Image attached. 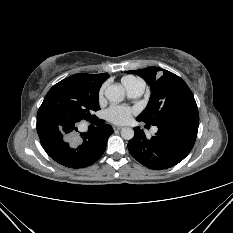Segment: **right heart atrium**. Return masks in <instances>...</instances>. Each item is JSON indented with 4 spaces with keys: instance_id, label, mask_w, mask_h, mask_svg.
Listing matches in <instances>:
<instances>
[{
    "instance_id": "right-heart-atrium-1",
    "label": "right heart atrium",
    "mask_w": 233,
    "mask_h": 233,
    "mask_svg": "<svg viewBox=\"0 0 233 233\" xmlns=\"http://www.w3.org/2000/svg\"><path fill=\"white\" fill-rule=\"evenodd\" d=\"M102 93H103V90L101 89L100 92H99V97L100 98L102 97Z\"/></svg>"
}]
</instances>
